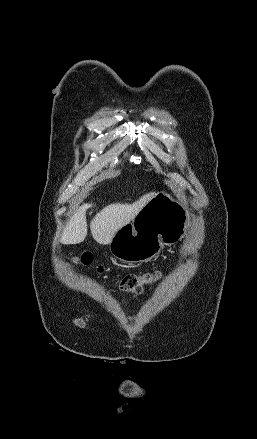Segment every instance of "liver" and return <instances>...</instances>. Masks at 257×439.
Segmentation results:
<instances>
[{
    "mask_svg": "<svg viewBox=\"0 0 257 439\" xmlns=\"http://www.w3.org/2000/svg\"><path fill=\"white\" fill-rule=\"evenodd\" d=\"M154 192L143 195L132 204L113 203L98 212L90 223L92 236L99 244H109L114 234L125 224L131 222L140 210L153 198ZM91 204H83L71 217L61 242L79 244L87 235L86 210Z\"/></svg>",
    "mask_w": 257,
    "mask_h": 439,
    "instance_id": "obj_1",
    "label": "liver"
}]
</instances>
